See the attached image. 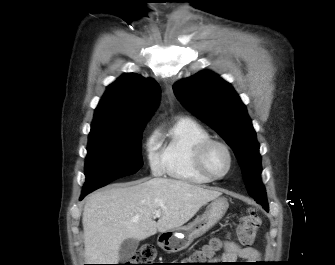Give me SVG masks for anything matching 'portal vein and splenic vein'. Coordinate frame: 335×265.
<instances>
[{"label":"portal vein and splenic vein","instance_id":"18ae733b","mask_svg":"<svg viewBox=\"0 0 335 265\" xmlns=\"http://www.w3.org/2000/svg\"><path fill=\"white\" fill-rule=\"evenodd\" d=\"M161 216V212L160 211H156L155 213H154V217L155 218H159Z\"/></svg>","mask_w":335,"mask_h":265}]
</instances>
